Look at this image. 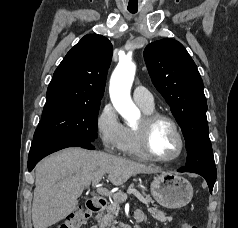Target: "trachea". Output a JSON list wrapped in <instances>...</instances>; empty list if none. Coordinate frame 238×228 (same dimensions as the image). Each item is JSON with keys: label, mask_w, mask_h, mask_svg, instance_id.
Returning a JSON list of instances; mask_svg holds the SVG:
<instances>
[{"label": "trachea", "mask_w": 238, "mask_h": 228, "mask_svg": "<svg viewBox=\"0 0 238 228\" xmlns=\"http://www.w3.org/2000/svg\"><path fill=\"white\" fill-rule=\"evenodd\" d=\"M131 13H136V11H130Z\"/></svg>", "instance_id": "1"}]
</instances>
